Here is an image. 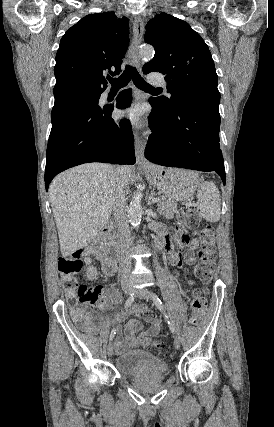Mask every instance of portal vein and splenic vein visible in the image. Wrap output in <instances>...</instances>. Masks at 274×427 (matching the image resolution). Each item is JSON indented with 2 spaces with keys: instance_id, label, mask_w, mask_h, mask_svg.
Masks as SVG:
<instances>
[{
  "instance_id": "obj_1",
  "label": "portal vein and splenic vein",
  "mask_w": 274,
  "mask_h": 427,
  "mask_svg": "<svg viewBox=\"0 0 274 427\" xmlns=\"http://www.w3.org/2000/svg\"><path fill=\"white\" fill-rule=\"evenodd\" d=\"M155 202H158L157 198H156Z\"/></svg>"
}]
</instances>
